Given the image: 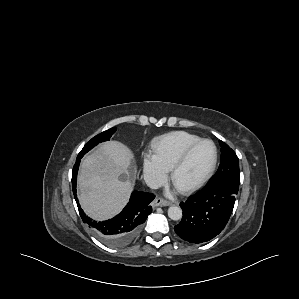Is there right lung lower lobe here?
Returning a JSON list of instances; mask_svg holds the SVG:
<instances>
[{
    "label": "right lung lower lobe",
    "mask_w": 299,
    "mask_h": 299,
    "mask_svg": "<svg viewBox=\"0 0 299 299\" xmlns=\"http://www.w3.org/2000/svg\"><path fill=\"white\" fill-rule=\"evenodd\" d=\"M83 155L84 154L79 153L72 173L73 194L80 216L84 223H88L94 228L95 233L104 243L111 247H124L134 240L141 225L152 212L150 202L153 201L154 195L151 193L134 191L129 203L116 217L98 223L96 221H91V219L84 214L76 196L77 171L80 159Z\"/></svg>",
    "instance_id": "obj_1"
}]
</instances>
